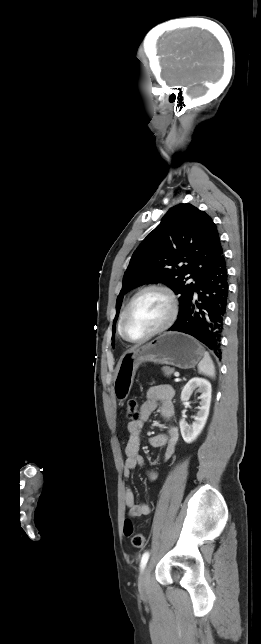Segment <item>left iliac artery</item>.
Instances as JSON below:
<instances>
[{
    "mask_svg": "<svg viewBox=\"0 0 261 644\" xmlns=\"http://www.w3.org/2000/svg\"><path fill=\"white\" fill-rule=\"evenodd\" d=\"M148 559H149V552L147 551L142 555V558H141V562H140V569L141 570H143L145 568V566H146V564L148 562Z\"/></svg>",
    "mask_w": 261,
    "mask_h": 644,
    "instance_id": "1",
    "label": "left iliac artery"
}]
</instances>
